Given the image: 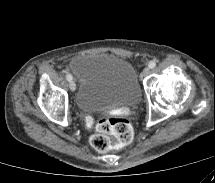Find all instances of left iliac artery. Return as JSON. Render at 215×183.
<instances>
[{
  "instance_id": "left-iliac-artery-1",
  "label": "left iliac artery",
  "mask_w": 215,
  "mask_h": 183,
  "mask_svg": "<svg viewBox=\"0 0 215 183\" xmlns=\"http://www.w3.org/2000/svg\"><path fill=\"white\" fill-rule=\"evenodd\" d=\"M155 66H156V62L151 61V62L149 63V68L153 69Z\"/></svg>"
}]
</instances>
